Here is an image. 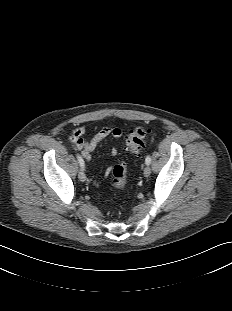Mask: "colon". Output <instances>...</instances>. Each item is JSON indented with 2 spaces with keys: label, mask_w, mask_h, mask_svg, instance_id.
Wrapping results in <instances>:
<instances>
[{
  "label": "colon",
  "mask_w": 232,
  "mask_h": 311,
  "mask_svg": "<svg viewBox=\"0 0 232 311\" xmlns=\"http://www.w3.org/2000/svg\"><path fill=\"white\" fill-rule=\"evenodd\" d=\"M147 130L142 127L130 130L125 136V147L130 153H138L142 146L144 139L147 136ZM112 182L118 189H124L127 184L126 169L123 164H117L111 169Z\"/></svg>",
  "instance_id": "colon-1"
}]
</instances>
